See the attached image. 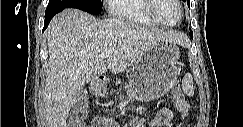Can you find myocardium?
I'll list each match as a JSON object with an SVG mask.
<instances>
[{
  "label": "myocardium",
  "mask_w": 243,
  "mask_h": 127,
  "mask_svg": "<svg viewBox=\"0 0 243 127\" xmlns=\"http://www.w3.org/2000/svg\"><path fill=\"white\" fill-rule=\"evenodd\" d=\"M157 1L158 0H146L147 13L150 16V18L154 22H156L159 26H162V27H165V28L178 27L182 23V21L184 19V15H185L184 8H183L181 1L180 0H174L177 3V5L180 9V13H181L178 22H176L174 24H167L159 18V16L156 13Z\"/></svg>",
  "instance_id": "f54148a6"
}]
</instances>
